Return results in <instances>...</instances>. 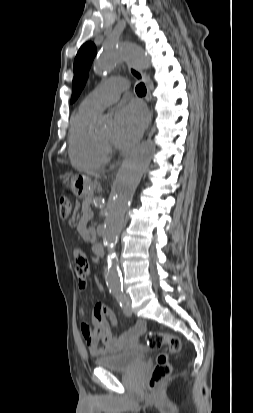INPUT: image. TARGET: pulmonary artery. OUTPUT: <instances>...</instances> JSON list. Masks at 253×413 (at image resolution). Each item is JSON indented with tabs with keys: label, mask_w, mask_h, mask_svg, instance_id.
<instances>
[{
	"label": "pulmonary artery",
	"mask_w": 253,
	"mask_h": 413,
	"mask_svg": "<svg viewBox=\"0 0 253 413\" xmlns=\"http://www.w3.org/2000/svg\"><path fill=\"white\" fill-rule=\"evenodd\" d=\"M124 89L125 85L121 80H109L86 96L82 106L99 113L107 106L116 102Z\"/></svg>",
	"instance_id": "obj_1"
}]
</instances>
